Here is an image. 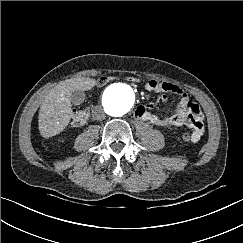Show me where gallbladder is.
Returning <instances> with one entry per match:
<instances>
[{
	"label": "gallbladder",
	"instance_id": "gallbladder-1",
	"mask_svg": "<svg viewBox=\"0 0 243 243\" xmlns=\"http://www.w3.org/2000/svg\"><path fill=\"white\" fill-rule=\"evenodd\" d=\"M85 95L82 91H73L71 94V102L78 105L83 102Z\"/></svg>",
	"mask_w": 243,
	"mask_h": 243
}]
</instances>
